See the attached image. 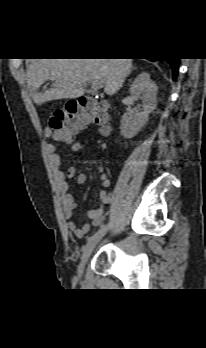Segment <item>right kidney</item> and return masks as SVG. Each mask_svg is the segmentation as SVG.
I'll use <instances>...</instances> for the list:
<instances>
[{"label": "right kidney", "mask_w": 206, "mask_h": 348, "mask_svg": "<svg viewBox=\"0 0 206 348\" xmlns=\"http://www.w3.org/2000/svg\"><path fill=\"white\" fill-rule=\"evenodd\" d=\"M158 88L150 79V74L143 72L139 74L130 87V92L140 97L143 103V111H127L121 119V134L130 139L147 124L149 114L156 109Z\"/></svg>", "instance_id": "1"}]
</instances>
